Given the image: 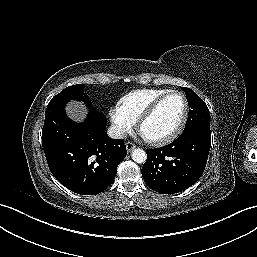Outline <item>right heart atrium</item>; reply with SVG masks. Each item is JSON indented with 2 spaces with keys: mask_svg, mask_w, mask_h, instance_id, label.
Segmentation results:
<instances>
[{
  "mask_svg": "<svg viewBox=\"0 0 257 257\" xmlns=\"http://www.w3.org/2000/svg\"><path fill=\"white\" fill-rule=\"evenodd\" d=\"M109 117L114 133L119 138H123L130 133L135 125V121L126 113L119 103L110 109Z\"/></svg>",
  "mask_w": 257,
  "mask_h": 257,
  "instance_id": "1",
  "label": "right heart atrium"
}]
</instances>
